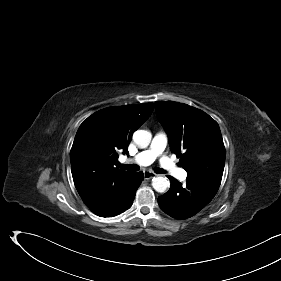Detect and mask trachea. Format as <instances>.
<instances>
[{
	"instance_id": "1",
	"label": "trachea",
	"mask_w": 281,
	"mask_h": 281,
	"mask_svg": "<svg viewBox=\"0 0 281 281\" xmlns=\"http://www.w3.org/2000/svg\"><path fill=\"white\" fill-rule=\"evenodd\" d=\"M119 166L127 171H138L139 170V166L137 165H128V164H119ZM155 173L157 174H163L165 173L166 171L161 169V168H155L154 169Z\"/></svg>"
}]
</instances>
